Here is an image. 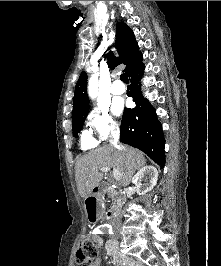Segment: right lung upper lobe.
Returning <instances> with one entry per match:
<instances>
[{"label":"right lung upper lobe","instance_id":"1","mask_svg":"<svg viewBox=\"0 0 221 266\" xmlns=\"http://www.w3.org/2000/svg\"><path fill=\"white\" fill-rule=\"evenodd\" d=\"M116 47L119 58H115L113 52L108 54L109 66L113 69L118 64H125L124 72L129 74L137 65L142 62V54L139 51L134 33L125 23H118L116 26ZM87 74L82 72L75 87L73 98V117L86 113L89 110L87 97Z\"/></svg>","mask_w":221,"mask_h":266}]
</instances>
